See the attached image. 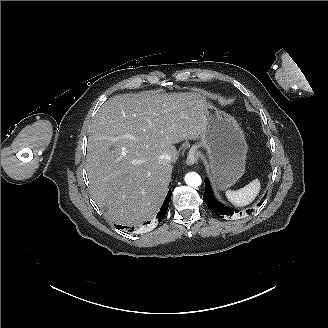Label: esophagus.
I'll use <instances>...</instances> for the list:
<instances>
[{"instance_id": "1", "label": "esophagus", "mask_w": 328, "mask_h": 328, "mask_svg": "<svg viewBox=\"0 0 328 328\" xmlns=\"http://www.w3.org/2000/svg\"><path fill=\"white\" fill-rule=\"evenodd\" d=\"M198 162V155L195 150H190L186 158L187 165H194Z\"/></svg>"}]
</instances>
